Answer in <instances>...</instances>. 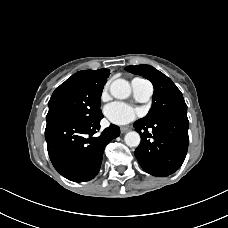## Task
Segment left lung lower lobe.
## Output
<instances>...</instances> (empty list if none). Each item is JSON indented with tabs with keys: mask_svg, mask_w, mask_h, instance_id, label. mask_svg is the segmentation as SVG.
<instances>
[{
	"mask_svg": "<svg viewBox=\"0 0 228 228\" xmlns=\"http://www.w3.org/2000/svg\"><path fill=\"white\" fill-rule=\"evenodd\" d=\"M134 127L141 136L135 156L144 171L165 177L180 168L189 141L187 109L174 111L151 123L138 120ZM148 128L153 129L152 134Z\"/></svg>",
	"mask_w": 228,
	"mask_h": 228,
	"instance_id": "1",
	"label": "left lung lower lobe"
}]
</instances>
